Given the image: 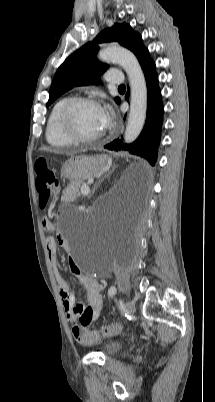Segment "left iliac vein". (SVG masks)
I'll return each instance as SVG.
<instances>
[{
	"mask_svg": "<svg viewBox=\"0 0 215 402\" xmlns=\"http://www.w3.org/2000/svg\"><path fill=\"white\" fill-rule=\"evenodd\" d=\"M125 310H126V313H128V314L134 313L136 310L134 302H132V301L126 302Z\"/></svg>",
	"mask_w": 215,
	"mask_h": 402,
	"instance_id": "left-iliac-vein-1",
	"label": "left iliac vein"
}]
</instances>
